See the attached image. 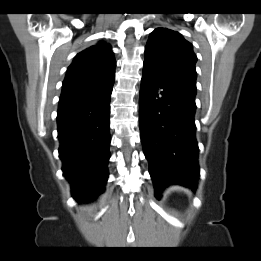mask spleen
<instances>
[{
  "label": "spleen",
  "mask_w": 261,
  "mask_h": 261,
  "mask_svg": "<svg viewBox=\"0 0 261 261\" xmlns=\"http://www.w3.org/2000/svg\"><path fill=\"white\" fill-rule=\"evenodd\" d=\"M177 189H178V190H181V191H183V190H184L183 188H180V187H177Z\"/></svg>",
  "instance_id": "spleen-1"
}]
</instances>
